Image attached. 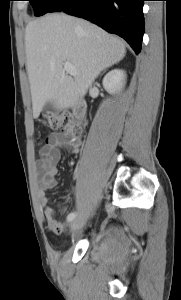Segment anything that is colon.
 I'll use <instances>...</instances> for the list:
<instances>
[{
  "instance_id": "5ec220e1",
  "label": "colon",
  "mask_w": 181,
  "mask_h": 300,
  "mask_svg": "<svg viewBox=\"0 0 181 300\" xmlns=\"http://www.w3.org/2000/svg\"><path fill=\"white\" fill-rule=\"evenodd\" d=\"M45 126L52 129H60L66 136L78 140L82 135V126L71 119L67 114H50L42 120Z\"/></svg>"
}]
</instances>
